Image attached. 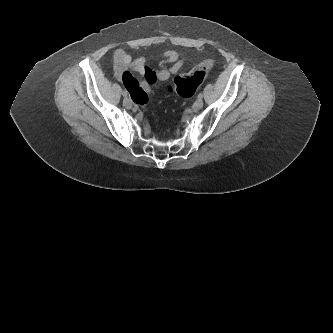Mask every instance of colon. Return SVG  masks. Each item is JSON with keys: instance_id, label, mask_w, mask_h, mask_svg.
Listing matches in <instances>:
<instances>
[{"instance_id": "obj_1", "label": "colon", "mask_w": 333, "mask_h": 333, "mask_svg": "<svg viewBox=\"0 0 333 333\" xmlns=\"http://www.w3.org/2000/svg\"><path fill=\"white\" fill-rule=\"evenodd\" d=\"M212 66V60H206L200 63L190 74L175 77L173 82L166 87V90L169 93H177L185 98L193 96L205 80V77L211 70Z\"/></svg>"}]
</instances>
